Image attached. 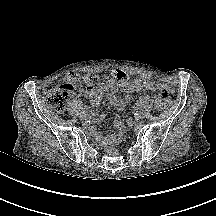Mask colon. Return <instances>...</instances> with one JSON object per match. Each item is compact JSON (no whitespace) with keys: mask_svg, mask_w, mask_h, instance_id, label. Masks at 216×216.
<instances>
[{"mask_svg":"<svg viewBox=\"0 0 216 216\" xmlns=\"http://www.w3.org/2000/svg\"><path fill=\"white\" fill-rule=\"evenodd\" d=\"M82 79L75 73L69 75L60 85L47 91L43 96V102L53 110L62 111L69 99L77 92L81 86ZM159 94L165 106H171L174 102V92L170 87L160 88ZM105 151L115 154L113 146H107Z\"/></svg>","mask_w":216,"mask_h":216,"instance_id":"colon-1","label":"colon"}]
</instances>
